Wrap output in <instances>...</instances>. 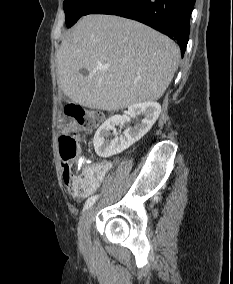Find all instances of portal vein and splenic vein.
<instances>
[{
	"mask_svg": "<svg viewBox=\"0 0 233 284\" xmlns=\"http://www.w3.org/2000/svg\"><path fill=\"white\" fill-rule=\"evenodd\" d=\"M98 68H99L100 70H105V69H107V66L99 65Z\"/></svg>",
	"mask_w": 233,
	"mask_h": 284,
	"instance_id": "18ae733b",
	"label": "portal vein and splenic vein"
}]
</instances>
